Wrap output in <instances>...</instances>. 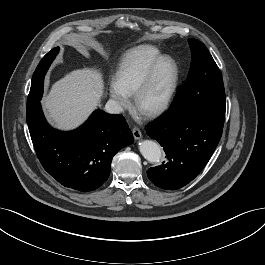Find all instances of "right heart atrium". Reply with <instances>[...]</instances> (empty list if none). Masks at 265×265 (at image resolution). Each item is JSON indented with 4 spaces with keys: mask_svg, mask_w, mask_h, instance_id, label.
Segmentation results:
<instances>
[{
    "mask_svg": "<svg viewBox=\"0 0 265 265\" xmlns=\"http://www.w3.org/2000/svg\"><path fill=\"white\" fill-rule=\"evenodd\" d=\"M110 96L119 108H124L128 104V97L121 92L114 84L110 86Z\"/></svg>",
    "mask_w": 265,
    "mask_h": 265,
    "instance_id": "d8ad5b80",
    "label": "right heart atrium"
}]
</instances>
